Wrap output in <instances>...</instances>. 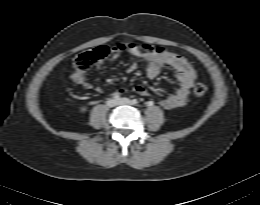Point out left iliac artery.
Here are the masks:
<instances>
[{"instance_id":"1","label":"left iliac artery","mask_w":260,"mask_h":205,"mask_svg":"<svg viewBox=\"0 0 260 205\" xmlns=\"http://www.w3.org/2000/svg\"><path fill=\"white\" fill-rule=\"evenodd\" d=\"M132 104H134V105L138 104V100L137 99H133L132 100Z\"/></svg>"}]
</instances>
